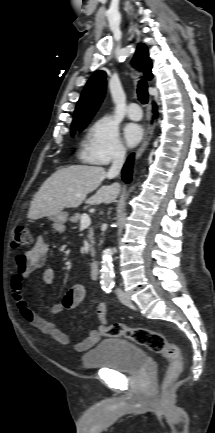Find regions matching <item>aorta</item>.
Returning a JSON list of instances; mask_svg holds the SVG:
<instances>
[{
  "instance_id": "1",
  "label": "aorta",
  "mask_w": 215,
  "mask_h": 433,
  "mask_svg": "<svg viewBox=\"0 0 215 433\" xmlns=\"http://www.w3.org/2000/svg\"><path fill=\"white\" fill-rule=\"evenodd\" d=\"M113 249L106 248L102 252V270H101V282L104 286H112L113 285V264H112V256Z\"/></svg>"
}]
</instances>
